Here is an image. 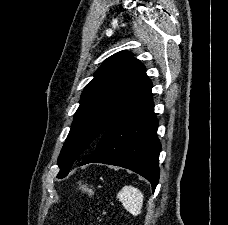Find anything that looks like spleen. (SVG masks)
<instances>
[{
  "label": "spleen",
  "instance_id": "3e777b00",
  "mask_svg": "<svg viewBox=\"0 0 228 225\" xmlns=\"http://www.w3.org/2000/svg\"><path fill=\"white\" fill-rule=\"evenodd\" d=\"M117 199L121 201L124 209L129 211L133 217H138V215H140L144 197L139 189H135L132 185L123 187V189L119 191Z\"/></svg>",
  "mask_w": 228,
  "mask_h": 225
}]
</instances>
